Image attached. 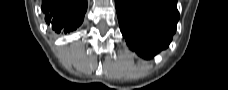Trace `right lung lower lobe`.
<instances>
[{
    "label": "right lung lower lobe",
    "instance_id": "right-lung-lower-lobe-1",
    "mask_svg": "<svg viewBox=\"0 0 228 90\" xmlns=\"http://www.w3.org/2000/svg\"><path fill=\"white\" fill-rule=\"evenodd\" d=\"M87 0H42L45 20L57 32H69L83 21Z\"/></svg>",
    "mask_w": 228,
    "mask_h": 90
}]
</instances>
